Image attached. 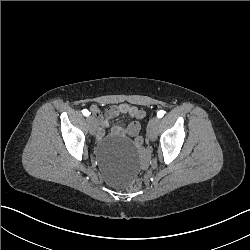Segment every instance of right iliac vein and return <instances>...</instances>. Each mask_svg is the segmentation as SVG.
Wrapping results in <instances>:
<instances>
[{"label":"right iliac vein","mask_w":250,"mask_h":250,"mask_svg":"<svg viewBox=\"0 0 250 250\" xmlns=\"http://www.w3.org/2000/svg\"><path fill=\"white\" fill-rule=\"evenodd\" d=\"M86 121H87V124L89 126L90 133L94 134L95 130H96V127H97L96 121L94 120L93 117H89V116L87 117Z\"/></svg>","instance_id":"right-iliac-vein-1"}]
</instances>
